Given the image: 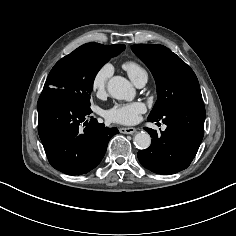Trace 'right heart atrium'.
Segmentation results:
<instances>
[{
  "instance_id": "d8ad5b80",
  "label": "right heart atrium",
  "mask_w": 236,
  "mask_h": 236,
  "mask_svg": "<svg viewBox=\"0 0 236 236\" xmlns=\"http://www.w3.org/2000/svg\"><path fill=\"white\" fill-rule=\"evenodd\" d=\"M113 72L112 65L105 63L100 66L94 73L91 80V88L94 93L102 94L105 92L109 78Z\"/></svg>"
}]
</instances>
